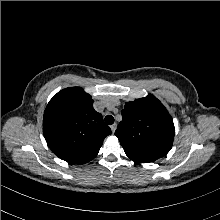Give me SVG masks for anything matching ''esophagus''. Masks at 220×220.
Segmentation results:
<instances>
[{
    "label": "esophagus",
    "mask_w": 220,
    "mask_h": 220,
    "mask_svg": "<svg viewBox=\"0 0 220 220\" xmlns=\"http://www.w3.org/2000/svg\"><path fill=\"white\" fill-rule=\"evenodd\" d=\"M112 133L115 132L116 128H117V124L114 123L113 125L110 126Z\"/></svg>",
    "instance_id": "obj_1"
}]
</instances>
